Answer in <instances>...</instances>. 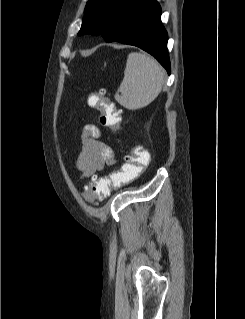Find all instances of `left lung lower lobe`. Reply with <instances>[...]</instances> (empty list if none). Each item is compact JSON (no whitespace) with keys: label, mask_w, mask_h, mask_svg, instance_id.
<instances>
[{"label":"left lung lower lobe","mask_w":245,"mask_h":319,"mask_svg":"<svg viewBox=\"0 0 245 319\" xmlns=\"http://www.w3.org/2000/svg\"><path fill=\"white\" fill-rule=\"evenodd\" d=\"M113 41L140 47L154 56L170 74L168 35L161 23V8L156 0H148L139 7Z\"/></svg>","instance_id":"left-lung-lower-lobe-1"}]
</instances>
